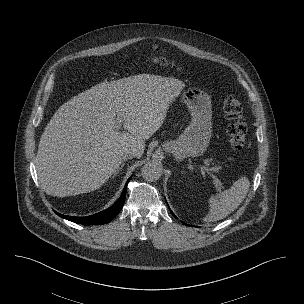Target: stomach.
<instances>
[{
	"instance_id": "obj_1",
	"label": "stomach",
	"mask_w": 304,
	"mask_h": 304,
	"mask_svg": "<svg viewBox=\"0 0 304 304\" xmlns=\"http://www.w3.org/2000/svg\"><path fill=\"white\" fill-rule=\"evenodd\" d=\"M182 99L191 112V122L176 140L166 141L163 145L178 160L202 155L212 133L210 96L201 89L189 88L183 92Z\"/></svg>"
}]
</instances>
